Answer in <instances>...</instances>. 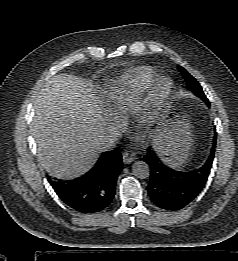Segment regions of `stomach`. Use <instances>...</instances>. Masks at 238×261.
<instances>
[{
  "label": "stomach",
  "mask_w": 238,
  "mask_h": 261,
  "mask_svg": "<svg viewBox=\"0 0 238 261\" xmlns=\"http://www.w3.org/2000/svg\"><path fill=\"white\" fill-rule=\"evenodd\" d=\"M152 146L168 166L178 168L188 158L193 134L189 119L183 112L168 106L154 118L150 129Z\"/></svg>",
  "instance_id": "stomach-1"
}]
</instances>
